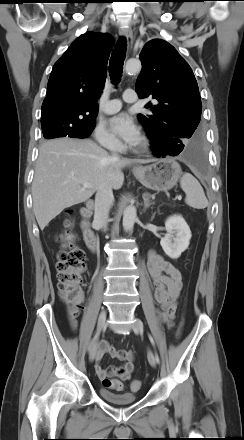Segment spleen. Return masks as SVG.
Masks as SVG:
<instances>
[{
    "label": "spleen",
    "instance_id": "1",
    "mask_svg": "<svg viewBox=\"0 0 244 440\" xmlns=\"http://www.w3.org/2000/svg\"><path fill=\"white\" fill-rule=\"evenodd\" d=\"M181 189L185 192V203L195 209H204L208 200L198 180L190 173H184L180 180Z\"/></svg>",
    "mask_w": 244,
    "mask_h": 440
}]
</instances>
